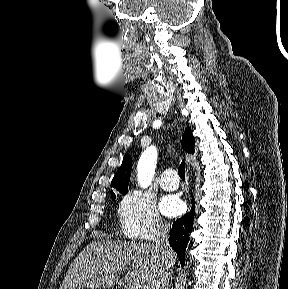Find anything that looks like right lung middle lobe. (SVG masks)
<instances>
[{
  "instance_id": "right-lung-middle-lobe-1",
  "label": "right lung middle lobe",
  "mask_w": 288,
  "mask_h": 289,
  "mask_svg": "<svg viewBox=\"0 0 288 289\" xmlns=\"http://www.w3.org/2000/svg\"><path fill=\"white\" fill-rule=\"evenodd\" d=\"M120 193H123V194H125V193H127V191H119ZM111 197H112V199L113 200H115L116 199V195L113 193V192H111Z\"/></svg>"
}]
</instances>
